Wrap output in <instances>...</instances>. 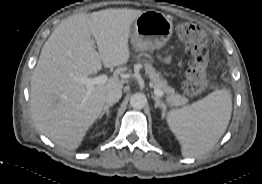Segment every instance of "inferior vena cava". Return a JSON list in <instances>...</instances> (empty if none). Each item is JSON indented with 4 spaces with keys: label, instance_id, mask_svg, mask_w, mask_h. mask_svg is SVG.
<instances>
[{
    "label": "inferior vena cava",
    "instance_id": "inferior-vena-cava-1",
    "mask_svg": "<svg viewBox=\"0 0 262 184\" xmlns=\"http://www.w3.org/2000/svg\"><path fill=\"white\" fill-rule=\"evenodd\" d=\"M122 91L120 89H112L107 92L105 100L107 104H114L120 100Z\"/></svg>",
    "mask_w": 262,
    "mask_h": 184
}]
</instances>
